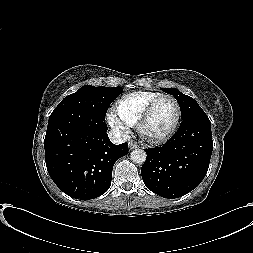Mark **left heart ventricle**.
Listing matches in <instances>:
<instances>
[{
  "mask_svg": "<svg viewBox=\"0 0 253 253\" xmlns=\"http://www.w3.org/2000/svg\"><path fill=\"white\" fill-rule=\"evenodd\" d=\"M175 118V104L170 99H164L156 106L145 127V132L153 137L161 136L172 127Z\"/></svg>",
  "mask_w": 253,
  "mask_h": 253,
  "instance_id": "obj_1",
  "label": "left heart ventricle"
}]
</instances>
